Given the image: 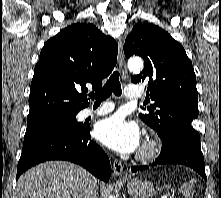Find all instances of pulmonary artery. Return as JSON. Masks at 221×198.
I'll list each match as a JSON object with an SVG mask.
<instances>
[{"instance_id": "obj_1", "label": "pulmonary artery", "mask_w": 221, "mask_h": 198, "mask_svg": "<svg viewBox=\"0 0 221 198\" xmlns=\"http://www.w3.org/2000/svg\"><path fill=\"white\" fill-rule=\"evenodd\" d=\"M125 96L129 99H139L142 96V93L139 88L136 86H127L125 89ZM114 106L111 103H104L97 109L86 108L81 111V116L83 118L93 117V116H102L113 110Z\"/></svg>"}]
</instances>
